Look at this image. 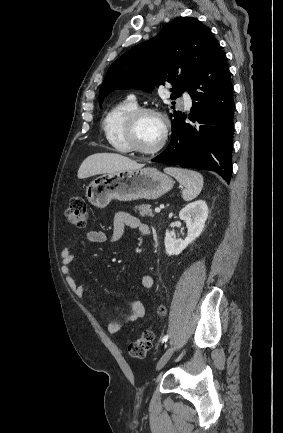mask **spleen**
Masks as SVG:
<instances>
[{"instance_id":"spleen-1","label":"spleen","mask_w":283,"mask_h":433,"mask_svg":"<svg viewBox=\"0 0 283 433\" xmlns=\"http://www.w3.org/2000/svg\"><path fill=\"white\" fill-rule=\"evenodd\" d=\"M164 172L174 176L180 184L185 186L182 190V196L184 200H192L200 194L203 188V176L196 170H188V168H175V166H167L164 168Z\"/></svg>"}]
</instances>
